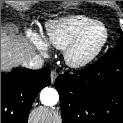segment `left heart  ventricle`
<instances>
[{"instance_id": "b2bd125f", "label": "left heart ventricle", "mask_w": 123, "mask_h": 123, "mask_svg": "<svg viewBox=\"0 0 123 123\" xmlns=\"http://www.w3.org/2000/svg\"><path fill=\"white\" fill-rule=\"evenodd\" d=\"M104 37V30L101 27L92 29L81 41L75 51L77 58H84L88 56L102 41Z\"/></svg>"}]
</instances>
